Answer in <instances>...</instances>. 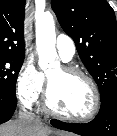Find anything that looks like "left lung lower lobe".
Instances as JSON below:
<instances>
[{"mask_svg":"<svg viewBox=\"0 0 117 136\" xmlns=\"http://www.w3.org/2000/svg\"><path fill=\"white\" fill-rule=\"evenodd\" d=\"M51 124L82 136H117V89L101 100L100 111L91 122L74 124L53 120Z\"/></svg>","mask_w":117,"mask_h":136,"instance_id":"0a47b994","label":"left lung lower lobe"}]
</instances>
